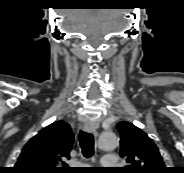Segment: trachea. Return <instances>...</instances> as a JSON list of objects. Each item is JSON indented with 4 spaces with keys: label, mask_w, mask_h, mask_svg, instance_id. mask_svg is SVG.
Here are the masks:
<instances>
[{
    "label": "trachea",
    "mask_w": 184,
    "mask_h": 173,
    "mask_svg": "<svg viewBox=\"0 0 184 173\" xmlns=\"http://www.w3.org/2000/svg\"><path fill=\"white\" fill-rule=\"evenodd\" d=\"M79 143L85 158H90L94 155V138L91 133L80 131Z\"/></svg>",
    "instance_id": "1"
}]
</instances>
